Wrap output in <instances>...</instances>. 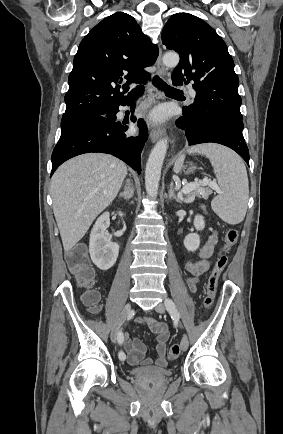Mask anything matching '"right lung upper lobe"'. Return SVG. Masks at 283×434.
<instances>
[{"instance_id":"right-lung-upper-lobe-1","label":"right lung upper lobe","mask_w":283,"mask_h":434,"mask_svg":"<svg viewBox=\"0 0 283 434\" xmlns=\"http://www.w3.org/2000/svg\"><path fill=\"white\" fill-rule=\"evenodd\" d=\"M158 53L131 15L117 12L103 19L84 37L74 57L62 120L97 116L127 101L129 85L150 76L144 68L154 64ZM123 79L127 82L121 86Z\"/></svg>"}]
</instances>
